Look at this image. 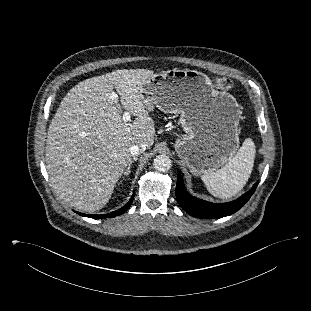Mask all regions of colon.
<instances>
[{
  "label": "colon",
  "mask_w": 311,
  "mask_h": 311,
  "mask_svg": "<svg viewBox=\"0 0 311 311\" xmlns=\"http://www.w3.org/2000/svg\"><path fill=\"white\" fill-rule=\"evenodd\" d=\"M216 87L220 90H229L233 86V82L228 78H217L215 81Z\"/></svg>",
  "instance_id": "obj_1"
}]
</instances>
